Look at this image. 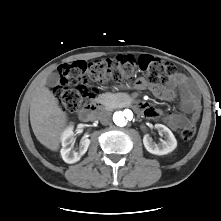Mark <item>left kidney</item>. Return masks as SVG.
<instances>
[{"label":"left kidney","instance_id":"obj_1","mask_svg":"<svg viewBox=\"0 0 221 221\" xmlns=\"http://www.w3.org/2000/svg\"><path fill=\"white\" fill-rule=\"evenodd\" d=\"M155 128L165 136L160 144L153 142L152 138L146 134L143 137V144L146 150L154 155H165L172 152L177 147V141L169 128L162 124H156Z\"/></svg>","mask_w":221,"mask_h":221}]
</instances>
